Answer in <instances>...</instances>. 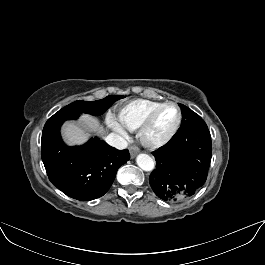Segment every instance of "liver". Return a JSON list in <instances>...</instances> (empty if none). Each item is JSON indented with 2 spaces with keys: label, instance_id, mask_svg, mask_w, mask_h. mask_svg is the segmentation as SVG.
Returning <instances> with one entry per match:
<instances>
[{
  "label": "liver",
  "instance_id": "1",
  "mask_svg": "<svg viewBox=\"0 0 265 265\" xmlns=\"http://www.w3.org/2000/svg\"><path fill=\"white\" fill-rule=\"evenodd\" d=\"M91 132L100 135L106 133L98 119L87 114L82 115L80 125L74 122H66L62 128L63 138L68 145H81L85 143Z\"/></svg>",
  "mask_w": 265,
  "mask_h": 265
}]
</instances>
